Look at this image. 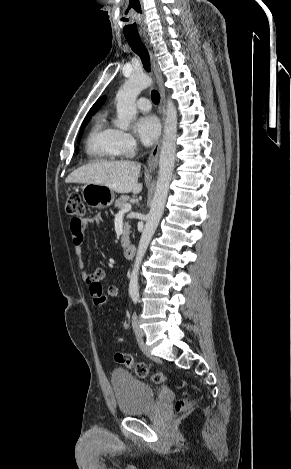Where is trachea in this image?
<instances>
[{
  "instance_id": "obj_1",
  "label": "trachea",
  "mask_w": 291,
  "mask_h": 469,
  "mask_svg": "<svg viewBox=\"0 0 291 469\" xmlns=\"http://www.w3.org/2000/svg\"><path fill=\"white\" fill-rule=\"evenodd\" d=\"M131 49L139 55L143 62V66L147 71H150V57L147 49L145 48L144 44L142 43L139 37H126ZM151 99L153 103L158 104L160 102V94L158 91L153 90L151 92Z\"/></svg>"
}]
</instances>
